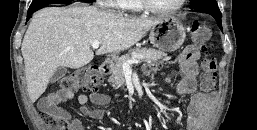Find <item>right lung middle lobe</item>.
I'll use <instances>...</instances> for the list:
<instances>
[{"label":"right lung middle lobe","instance_id":"1","mask_svg":"<svg viewBox=\"0 0 257 130\" xmlns=\"http://www.w3.org/2000/svg\"><path fill=\"white\" fill-rule=\"evenodd\" d=\"M90 2H93V1H90ZM62 3L64 2L54 3V0H34L28 10V13H33L37 9L48 4H62Z\"/></svg>","mask_w":257,"mask_h":130}]
</instances>
